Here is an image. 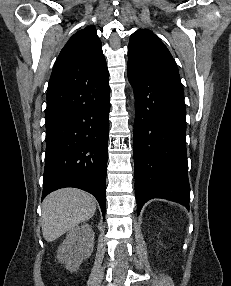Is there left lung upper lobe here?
Here are the masks:
<instances>
[{"label":"left lung upper lobe","instance_id":"1","mask_svg":"<svg viewBox=\"0 0 231 286\" xmlns=\"http://www.w3.org/2000/svg\"><path fill=\"white\" fill-rule=\"evenodd\" d=\"M128 65L150 76L181 83L178 68L170 52L149 30L141 29L131 35Z\"/></svg>","mask_w":231,"mask_h":286}]
</instances>
